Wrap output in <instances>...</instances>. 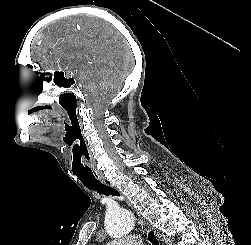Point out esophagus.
Instances as JSON below:
<instances>
[{
    "instance_id": "1",
    "label": "esophagus",
    "mask_w": 251,
    "mask_h": 245,
    "mask_svg": "<svg viewBox=\"0 0 251 245\" xmlns=\"http://www.w3.org/2000/svg\"><path fill=\"white\" fill-rule=\"evenodd\" d=\"M102 182H103L105 185L114 188L113 185L111 184V182L108 181L107 179H102ZM124 200H125V202H126L130 207H132V209L136 212V214H137V216H138L139 222H140V223H144V224H146L147 226H150V224L142 217V215L140 214V212L132 206V204L130 203V201H129L128 199H126V198H125ZM156 237L158 238L159 241H161V239H160V237H159L158 235H156ZM162 245H163V244H162Z\"/></svg>"
}]
</instances>
